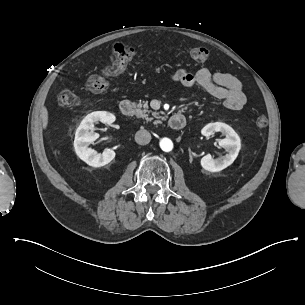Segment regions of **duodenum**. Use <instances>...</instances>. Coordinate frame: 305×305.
<instances>
[{
  "mask_svg": "<svg viewBox=\"0 0 305 305\" xmlns=\"http://www.w3.org/2000/svg\"><path fill=\"white\" fill-rule=\"evenodd\" d=\"M136 110V105L132 101L124 100L120 103V111L124 116H132L136 113ZM184 125L185 118L179 113L173 114L169 118V126L173 130H180L184 127Z\"/></svg>",
  "mask_w": 305,
  "mask_h": 305,
  "instance_id": "1",
  "label": "duodenum"
}]
</instances>
